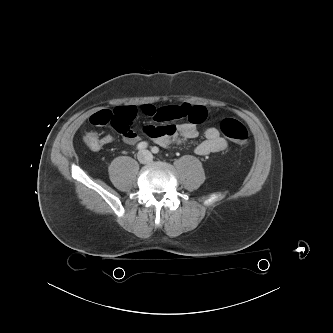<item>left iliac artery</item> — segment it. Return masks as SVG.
<instances>
[{"label": "left iliac artery", "mask_w": 333, "mask_h": 333, "mask_svg": "<svg viewBox=\"0 0 333 333\" xmlns=\"http://www.w3.org/2000/svg\"><path fill=\"white\" fill-rule=\"evenodd\" d=\"M152 153L157 154L159 152V148L154 146L151 148Z\"/></svg>", "instance_id": "left-iliac-artery-1"}]
</instances>
